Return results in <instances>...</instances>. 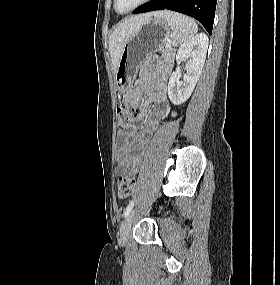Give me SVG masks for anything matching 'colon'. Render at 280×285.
<instances>
[{"instance_id": "obj_1", "label": "colon", "mask_w": 280, "mask_h": 285, "mask_svg": "<svg viewBox=\"0 0 280 285\" xmlns=\"http://www.w3.org/2000/svg\"><path fill=\"white\" fill-rule=\"evenodd\" d=\"M136 108L132 104H121L117 108V127L119 130L127 129L133 122ZM135 188V179L127 173H120L117 181V191L120 197L129 196Z\"/></svg>"}]
</instances>
